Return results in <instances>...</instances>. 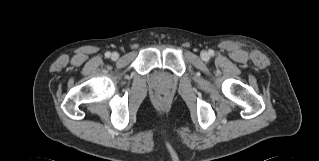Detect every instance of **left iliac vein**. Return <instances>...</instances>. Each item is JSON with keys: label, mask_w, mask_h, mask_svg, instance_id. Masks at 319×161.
I'll return each instance as SVG.
<instances>
[{"label": "left iliac vein", "mask_w": 319, "mask_h": 161, "mask_svg": "<svg viewBox=\"0 0 319 161\" xmlns=\"http://www.w3.org/2000/svg\"><path fill=\"white\" fill-rule=\"evenodd\" d=\"M201 56H202L203 59H207L208 58V54L206 52H203L201 54Z\"/></svg>", "instance_id": "4c4485c4"}]
</instances>
